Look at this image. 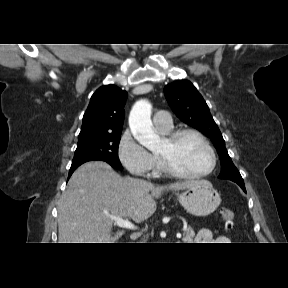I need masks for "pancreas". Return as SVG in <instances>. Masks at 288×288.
<instances>
[{
	"label": "pancreas",
	"mask_w": 288,
	"mask_h": 288,
	"mask_svg": "<svg viewBox=\"0 0 288 288\" xmlns=\"http://www.w3.org/2000/svg\"><path fill=\"white\" fill-rule=\"evenodd\" d=\"M195 236V233L191 227H187L184 229V237H183V242L184 243H190L192 242L193 238Z\"/></svg>",
	"instance_id": "pancreas-1"
}]
</instances>
